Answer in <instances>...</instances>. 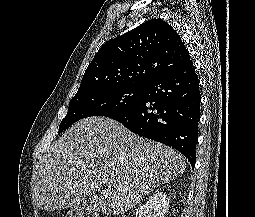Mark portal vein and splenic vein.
Masks as SVG:
<instances>
[{
	"instance_id": "portal-vein-and-splenic-vein-1",
	"label": "portal vein and splenic vein",
	"mask_w": 255,
	"mask_h": 217,
	"mask_svg": "<svg viewBox=\"0 0 255 217\" xmlns=\"http://www.w3.org/2000/svg\"><path fill=\"white\" fill-rule=\"evenodd\" d=\"M102 183H103V184H106V185H108V184H109V182H108V180H107V179H103V180H102Z\"/></svg>"
}]
</instances>
